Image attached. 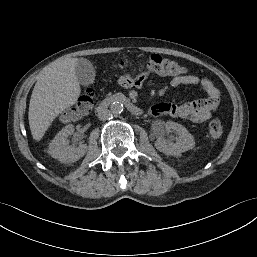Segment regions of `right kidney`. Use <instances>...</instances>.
Returning a JSON list of instances; mask_svg holds the SVG:
<instances>
[{"instance_id": "right-kidney-1", "label": "right kidney", "mask_w": 257, "mask_h": 257, "mask_svg": "<svg viewBox=\"0 0 257 257\" xmlns=\"http://www.w3.org/2000/svg\"><path fill=\"white\" fill-rule=\"evenodd\" d=\"M74 133V126L69 124L59 131L49 144L48 152L63 163H72L79 160L87 152V145L80 144L77 148L67 143V138Z\"/></svg>"}]
</instances>
